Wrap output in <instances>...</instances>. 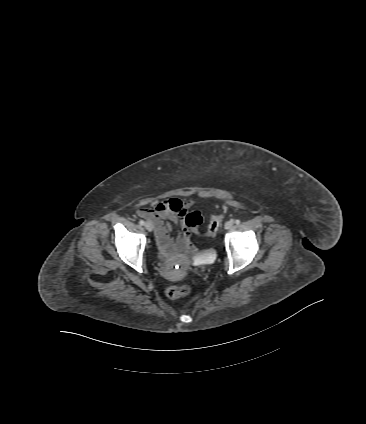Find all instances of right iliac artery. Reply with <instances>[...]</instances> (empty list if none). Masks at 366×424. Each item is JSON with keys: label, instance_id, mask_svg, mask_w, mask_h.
I'll return each mask as SVG.
<instances>
[{"label": "right iliac artery", "instance_id": "82829eb1", "mask_svg": "<svg viewBox=\"0 0 366 424\" xmlns=\"http://www.w3.org/2000/svg\"><path fill=\"white\" fill-rule=\"evenodd\" d=\"M139 224L143 226L145 224V222L143 220H140Z\"/></svg>", "mask_w": 366, "mask_h": 424}]
</instances>
